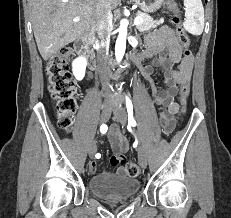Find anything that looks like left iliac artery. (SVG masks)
I'll return each mask as SVG.
<instances>
[{
	"label": "left iliac artery",
	"instance_id": "obj_1",
	"mask_svg": "<svg viewBox=\"0 0 231 218\" xmlns=\"http://www.w3.org/2000/svg\"><path fill=\"white\" fill-rule=\"evenodd\" d=\"M126 107L128 112V123L132 126H136V121L133 118V105L128 97H126Z\"/></svg>",
	"mask_w": 231,
	"mask_h": 218
}]
</instances>
